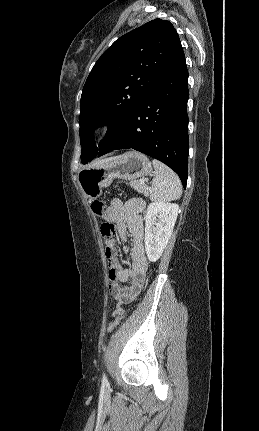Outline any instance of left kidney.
Segmentation results:
<instances>
[{
	"label": "left kidney",
	"mask_w": 259,
	"mask_h": 431,
	"mask_svg": "<svg viewBox=\"0 0 259 431\" xmlns=\"http://www.w3.org/2000/svg\"><path fill=\"white\" fill-rule=\"evenodd\" d=\"M179 206L173 203L152 202L145 216V251L149 261L162 255L172 235Z\"/></svg>",
	"instance_id": "5707ae66"
}]
</instances>
